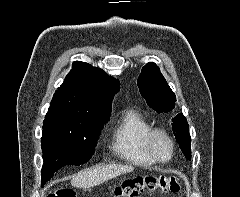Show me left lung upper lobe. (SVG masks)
<instances>
[{"label":"left lung upper lobe","mask_w":240,"mask_h":197,"mask_svg":"<svg viewBox=\"0 0 240 197\" xmlns=\"http://www.w3.org/2000/svg\"><path fill=\"white\" fill-rule=\"evenodd\" d=\"M141 95L145 98L149 107L157 113L170 112L175 107L176 97L168 86L159 67L153 63H147L142 68V73L137 81ZM172 128L176 141L187 159H191V137L189 125L182 113L172 119Z\"/></svg>","instance_id":"obj_1"}]
</instances>
